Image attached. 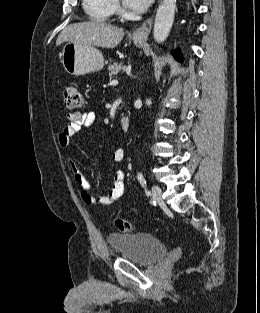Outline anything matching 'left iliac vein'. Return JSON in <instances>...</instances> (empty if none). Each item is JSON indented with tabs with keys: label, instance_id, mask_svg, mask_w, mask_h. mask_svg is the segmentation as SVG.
<instances>
[{
	"label": "left iliac vein",
	"instance_id": "4c4485c4",
	"mask_svg": "<svg viewBox=\"0 0 260 313\" xmlns=\"http://www.w3.org/2000/svg\"><path fill=\"white\" fill-rule=\"evenodd\" d=\"M152 194L154 201L156 202L162 201V189L159 186L153 185Z\"/></svg>",
	"mask_w": 260,
	"mask_h": 313
}]
</instances>
